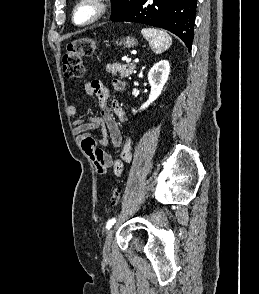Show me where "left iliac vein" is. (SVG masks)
I'll return each instance as SVG.
<instances>
[{
    "label": "left iliac vein",
    "instance_id": "obj_1",
    "mask_svg": "<svg viewBox=\"0 0 259 294\" xmlns=\"http://www.w3.org/2000/svg\"><path fill=\"white\" fill-rule=\"evenodd\" d=\"M113 234H114L113 228L110 229L106 234L105 242H104V246H103L104 255H110V253H111V243H112Z\"/></svg>",
    "mask_w": 259,
    "mask_h": 294
}]
</instances>
